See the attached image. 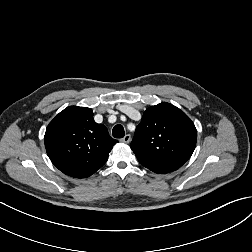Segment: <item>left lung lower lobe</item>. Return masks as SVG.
Returning a JSON list of instances; mask_svg holds the SVG:
<instances>
[{"label": "left lung lower lobe", "mask_w": 252, "mask_h": 252, "mask_svg": "<svg viewBox=\"0 0 252 252\" xmlns=\"http://www.w3.org/2000/svg\"><path fill=\"white\" fill-rule=\"evenodd\" d=\"M140 163L155 173H169L181 167L185 162L179 160H155Z\"/></svg>", "instance_id": "left-lung-lower-lobe-1"}]
</instances>
